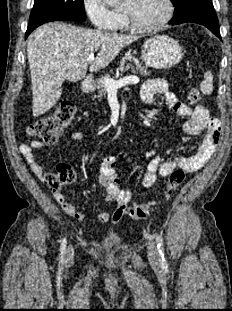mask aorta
Returning <instances> with one entry per match:
<instances>
[{"mask_svg":"<svg viewBox=\"0 0 232 311\" xmlns=\"http://www.w3.org/2000/svg\"><path fill=\"white\" fill-rule=\"evenodd\" d=\"M106 4L108 5H116L118 4L121 0H103Z\"/></svg>","mask_w":232,"mask_h":311,"instance_id":"762f6f07","label":"aorta"}]
</instances>
